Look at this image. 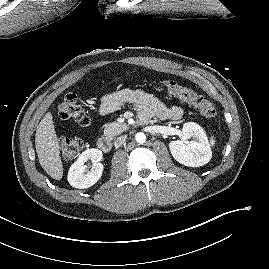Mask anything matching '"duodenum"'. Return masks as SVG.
<instances>
[{"label": "duodenum", "instance_id": "1", "mask_svg": "<svg viewBox=\"0 0 269 269\" xmlns=\"http://www.w3.org/2000/svg\"><path fill=\"white\" fill-rule=\"evenodd\" d=\"M97 147L100 151L108 153L112 149V142L108 137L102 136L97 140Z\"/></svg>", "mask_w": 269, "mask_h": 269}]
</instances>
